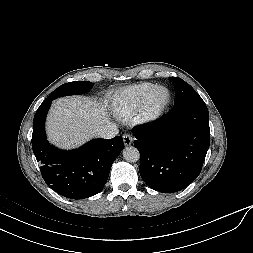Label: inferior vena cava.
I'll return each instance as SVG.
<instances>
[{
    "label": "inferior vena cava",
    "instance_id": "inferior-vena-cava-1",
    "mask_svg": "<svg viewBox=\"0 0 253 253\" xmlns=\"http://www.w3.org/2000/svg\"><path fill=\"white\" fill-rule=\"evenodd\" d=\"M119 130L116 124L108 122L94 130L95 135L102 138H113L118 134Z\"/></svg>",
    "mask_w": 253,
    "mask_h": 253
}]
</instances>
